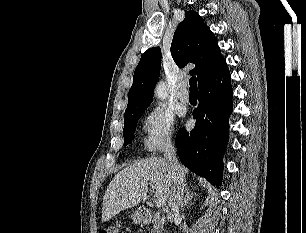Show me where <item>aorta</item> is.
Returning <instances> with one entry per match:
<instances>
[{
    "mask_svg": "<svg viewBox=\"0 0 306 233\" xmlns=\"http://www.w3.org/2000/svg\"><path fill=\"white\" fill-rule=\"evenodd\" d=\"M155 95L159 99H165L167 97V89H166V85L164 82H160L157 84L155 88Z\"/></svg>",
    "mask_w": 306,
    "mask_h": 233,
    "instance_id": "1",
    "label": "aorta"
}]
</instances>
